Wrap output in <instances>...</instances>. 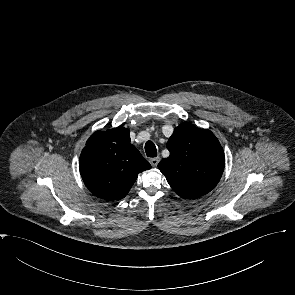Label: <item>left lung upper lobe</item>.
Here are the masks:
<instances>
[{"mask_svg":"<svg viewBox=\"0 0 295 295\" xmlns=\"http://www.w3.org/2000/svg\"><path fill=\"white\" fill-rule=\"evenodd\" d=\"M167 148L170 156L162 159L158 168L180 197L197 198L217 185L225 156L211 131L185 122L175 128Z\"/></svg>","mask_w":295,"mask_h":295,"instance_id":"5c2ea615","label":"left lung upper lobe"}]
</instances>
